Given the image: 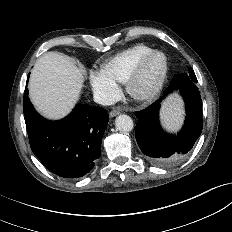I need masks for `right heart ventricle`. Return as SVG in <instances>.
I'll return each instance as SVG.
<instances>
[{
	"label": "right heart ventricle",
	"mask_w": 232,
	"mask_h": 232,
	"mask_svg": "<svg viewBox=\"0 0 232 232\" xmlns=\"http://www.w3.org/2000/svg\"><path fill=\"white\" fill-rule=\"evenodd\" d=\"M154 49L138 44L107 59L102 65V72L116 83H125L136 63Z\"/></svg>",
	"instance_id": "1"
}]
</instances>
